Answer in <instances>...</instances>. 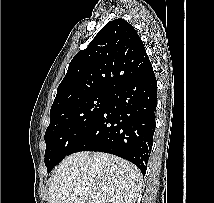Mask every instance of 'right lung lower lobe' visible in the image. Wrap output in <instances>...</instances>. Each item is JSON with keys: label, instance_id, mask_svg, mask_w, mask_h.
Masks as SVG:
<instances>
[{"label": "right lung lower lobe", "instance_id": "obj_1", "mask_svg": "<svg viewBox=\"0 0 214 203\" xmlns=\"http://www.w3.org/2000/svg\"><path fill=\"white\" fill-rule=\"evenodd\" d=\"M157 82L151 68L109 93L89 130L71 149L98 151L122 157L146 173L155 130Z\"/></svg>", "mask_w": 214, "mask_h": 203}]
</instances>
